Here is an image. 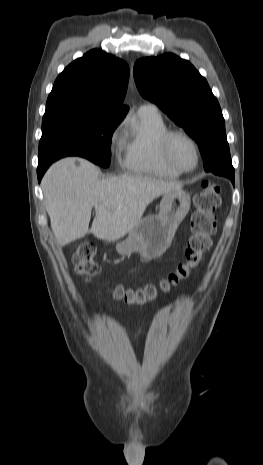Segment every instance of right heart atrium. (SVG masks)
I'll use <instances>...</instances> for the list:
<instances>
[{
    "label": "right heart atrium",
    "instance_id": "1",
    "mask_svg": "<svg viewBox=\"0 0 263 465\" xmlns=\"http://www.w3.org/2000/svg\"><path fill=\"white\" fill-rule=\"evenodd\" d=\"M122 143V124H117L110 132L109 146L111 151L119 156Z\"/></svg>",
    "mask_w": 263,
    "mask_h": 465
}]
</instances>
